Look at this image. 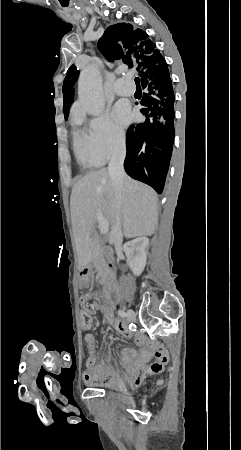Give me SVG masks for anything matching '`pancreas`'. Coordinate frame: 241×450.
Instances as JSON below:
<instances>
[{"label": "pancreas", "mask_w": 241, "mask_h": 450, "mask_svg": "<svg viewBox=\"0 0 241 450\" xmlns=\"http://www.w3.org/2000/svg\"><path fill=\"white\" fill-rule=\"evenodd\" d=\"M101 260L103 262V258H101ZM103 268H104V266H103ZM99 274H102V272H100V270H99ZM107 276H108V270H106L105 278H107ZM100 278H101V276H100ZM105 278H104V280H102V278H101V280H99L100 284H103V282H106Z\"/></svg>", "instance_id": "obj_1"}]
</instances>
